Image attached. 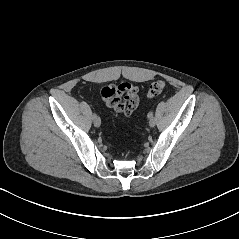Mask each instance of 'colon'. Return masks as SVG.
Returning a JSON list of instances; mask_svg holds the SVG:
<instances>
[{"label":"colon","instance_id":"obj_1","mask_svg":"<svg viewBox=\"0 0 239 239\" xmlns=\"http://www.w3.org/2000/svg\"><path fill=\"white\" fill-rule=\"evenodd\" d=\"M166 83L162 80H158L153 82L148 90V97H155L159 95L165 88Z\"/></svg>","mask_w":239,"mask_h":239}]
</instances>
